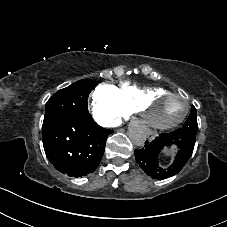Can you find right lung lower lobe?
Instances as JSON below:
<instances>
[{"mask_svg":"<svg viewBox=\"0 0 227 227\" xmlns=\"http://www.w3.org/2000/svg\"><path fill=\"white\" fill-rule=\"evenodd\" d=\"M112 132L93 122L89 114L68 116L42 126L43 146L57 170L80 177L98 167Z\"/></svg>","mask_w":227,"mask_h":227,"instance_id":"obj_1","label":"right lung lower lobe"}]
</instances>
